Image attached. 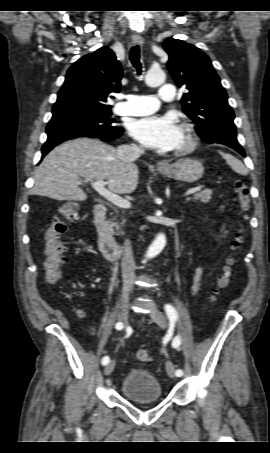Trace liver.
Returning a JSON list of instances; mask_svg holds the SVG:
<instances>
[{
    "label": "liver",
    "instance_id": "obj_1",
    "mask_svg": "<svg viewBox=\"0 0 270 453\" xmlns=\"http://www.w3.org/2000/svg\"><path fill=\"white\" fill-rule=\"evenodd\" d=\"M81 178L106 180L116 194H130L138 185V168L118 158L117 150L100 140L77 138L54 148L36 168L31 194L58 201H85Z\"/></svg>",
    "mask_w": 270,
    "mask_h": 453
}]
</instances>
